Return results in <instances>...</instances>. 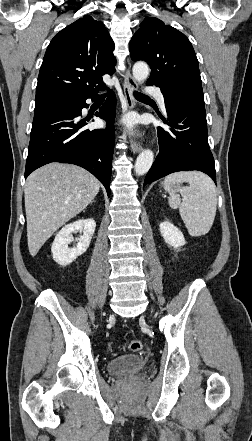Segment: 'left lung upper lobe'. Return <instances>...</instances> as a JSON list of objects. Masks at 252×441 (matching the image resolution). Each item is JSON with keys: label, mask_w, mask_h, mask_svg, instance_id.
I'll use <instances>...</instances> for the list:
<instances>
[{"label": "left lung upper lobe", "mask_w": 252, "mask_h": 441, "mask_svg": "<svg viewBox=\"0 0 252 441\" xmlns=\"http://www.w3.org/2000/svg\"><path fill=\"white\" fill-rule=\"evenodd\" d=\"M133 61L151 67L147 85L162 92L188 95L204 105L198 60L188 38L158 18L146 17L130 42Z\"/></svg>", "instance_id": "5c2ea615"}]
</instances>
